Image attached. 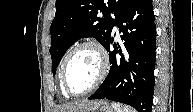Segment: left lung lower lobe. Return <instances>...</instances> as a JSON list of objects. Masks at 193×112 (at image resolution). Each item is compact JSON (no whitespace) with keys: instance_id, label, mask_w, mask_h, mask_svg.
Wrapping results in <instances>:
<instances>
[{"instance_id":"left-lung-lower-lobe-1","label":"left lung lower lobe","mask_w":193,"mask_h":112,"mask_svg":"<svg viewBox=\"0 0 193 112\" xmlns=\"http://www.w3.org/2000/svg\"><path fill=\"white\" fill-rule=\"evenodd\" d=\"M155 16L151 0H133L115 25L121 44L110 51L113 37L105 49L110 56V71L102 85L88 99H109L151 112L156 59Z\"/></svg>"}]
</instances>
